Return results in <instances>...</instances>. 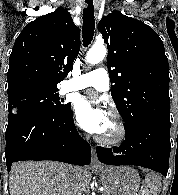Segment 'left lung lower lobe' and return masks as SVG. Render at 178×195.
Listing matches in <instances>:
<instances>
[{"instance_id": "0a47b994", "label": "left lung lower lobe", "mask_w": 178, "mask_h": 195, "mask_svg": "<svg viewBox=\"0 0 178 195\" xmlns=\"http://www.w3.org/2000/svg\"><path fill=\"white\" fill-rule=\"evenodd\" d=\"M170 124L141 121L125 128L119 147H97L100 162L108 165H138L167 175L170 156Z\"/></svg>"}]
</instances>
